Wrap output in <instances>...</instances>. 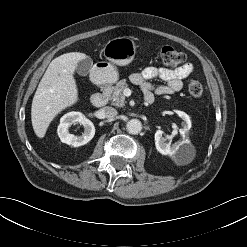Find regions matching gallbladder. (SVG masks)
<instances>
[{"instance_id": "1", "label": "gallbladder", "mask_w": 247, "mask_h": 247, "mask_svg": "<svg viewBox=\"0 0 247 247\" xmlns=\"http://www.w3.org/2000/svg\"><path fill=\"white\" fill-rule=\"evenodd\" d=\"M93 61L90 57H86L79 61L76 66V72L81 76H86L92 69Z\"/></svg>"}]
</instances>
